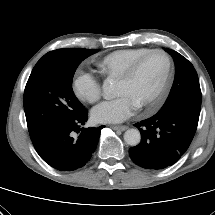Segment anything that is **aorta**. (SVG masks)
I'll list each match as a JSON object with an SVG mask.
<instances>
[{
    "label": "aorta",
    "instance_id": "1",
    "mask_svg": "<svg viewBox=\"0 0 215 215\" xmlns=\"http://www.w3.org/2000/svg\"><path fill=\"white\" fill-rule=\"evenodd\" d=\"M103 97L105 99H112L116 94V84L111 78H107L103 82ZM124 141L130 146H137L141 141V134L138 129H128L124 133Z\"/></svg>",
    "mask_w": 215,
    "mask_h": 215
}]
</instances>
